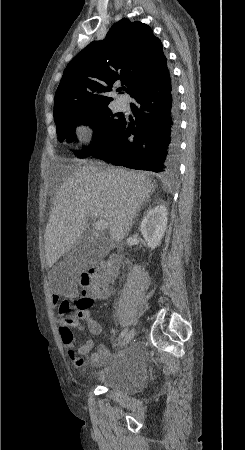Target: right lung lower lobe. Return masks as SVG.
I'll return each mask as SVG.
<instances>
[{
	"instance_id": "obj_1",
	"label": "right lung lower lobe",
	"mask_w": 245,
	"mask_h": 450,
	"mask_svg": "<svg viewBox=\"0 0 245 450\" xmlns=\"http://www.w3.org/2000/svg\"><path fill=\"white\" fill-rule=\"evenodd\" d=\"M135 122L124 118L115 140L92 154L114 165L174 174L179 161L178 106L167 67L132 96Z\"/></svg>"
}]
</instances>
